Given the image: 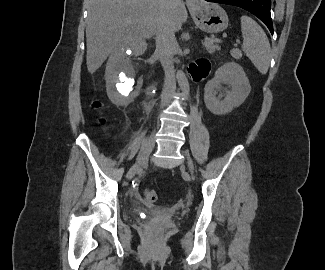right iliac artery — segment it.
Segmentation results:
<instances>
[{"mask_svg":"<svg viewBox=\"0 0 325 270\" xmlns=\"http://www.w3.org/2000/svg\"><path fill=\"white\" fill-rule=\"evenodd\" d=\"M145 144H146V143H145ZM145 144H143V146H142L140 152L145 148Z\"/></svg>","mask_w":325,"mask_h":270,"instance_id":"1","label":"right iliac artery"}]
</instances>
